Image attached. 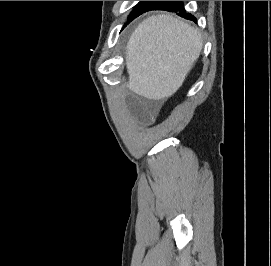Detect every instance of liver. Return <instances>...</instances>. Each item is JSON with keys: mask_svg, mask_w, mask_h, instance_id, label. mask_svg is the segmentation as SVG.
I'll use <instances>...</instances> for the list:
<instances>
[{"mask_svg": "<svg viewBox=\"0 0 271 266\" xmlns=\"http://www.w3.org/2000/svg\"><path fill=\"white\" fill-rule=\"evenodd\" d=\"M202 47L196 27L170 14L148 17L137 26L126 46L127 88L150 100L172 96Z\"/></svg>", "mask_w": 271, "mask_h": 266, "instance_id": "6515ba94", "label": "liver"}]
</instances>
